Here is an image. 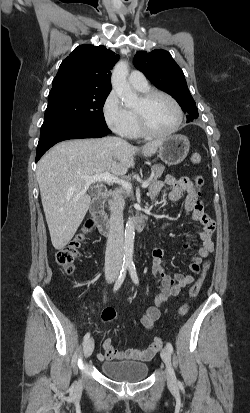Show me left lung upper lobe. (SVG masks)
Here are the masks:
<instances>
[{
	"label": "left lung upper lobe",
	"instance_id": "left-lung-upper-lobe-1",
	"mask_svg": "<svg viewBox=\"0 0 250 413\" xmlns=\"http://www.w3.org/2000/svg\"><path fill=\"white\" fill-rule=\"evenodd\" d=\"M134 66L157 88L176 99L188 118H198L196 103L190 94L182 69L165 50L150 53L139 51L133 59Z\"/></svg>",
	"mask_w": 250,
	"mask_h": 413
}]
</instances>
